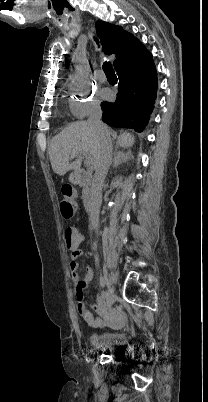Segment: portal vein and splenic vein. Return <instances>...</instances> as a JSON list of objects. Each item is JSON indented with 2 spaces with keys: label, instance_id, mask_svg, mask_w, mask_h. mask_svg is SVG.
<instances>
[{
  "label": "portal vein and splenic vein",
  "instance_id": "obj_1",
  "mask_svg": "<svg viewBox=\"0 0 208 402\" xmlns=\"http://www.w3.org/2000/svg\"><path fill=\"white\" fill-rule=\"evenodd\" d=\"M72 156H76V154H72ZM83 156H85V158H86L85 164H87V166H90V164H92L93 160H92L89 152H84Z\"/></svg>",
  "mask_w": 208,
  "mask_h": 402
}]
</instances>
